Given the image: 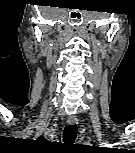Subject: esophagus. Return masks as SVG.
Masks as SVG:
<instances>
[{
	"mask_svg": "<svg viewBox=\"0 0 135 153\" xmlns=\"http://www.w3.org/2000/svg\"><path fill=\"white\" fill-rule=\"evenodd\" d=\"M67 123L70 124V125H73V124H76L77 123V118L76 116H69L68 119H67Z\"/></svg>",
	"mask_w": 135,
	"mask_h": 153,
	"instance_id": "esophagus-1",
	"label": "esophagus"
}]
</instances>
